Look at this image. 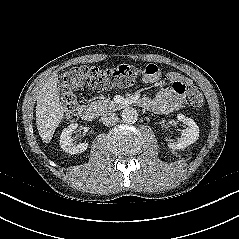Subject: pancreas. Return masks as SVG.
Returning <instances> with one entry per match:
<instances>
[{
  "mask_svg": "<svg viewBox=\"0 0 239 239\" xmlns=\"http://www.w3.org/2000/svg\"><path fill=\"white\" fill-rule=\"evenodd\" d=\"M91 106L94 107L99 112H106L113 110L116 107V103L108 98L105 100H98L92 102Z\"/></svg>",
  "mask_w": 239,
  "mask_h": 239,
  "instance_id": "obj_1",
  "label": "pancreas"
}]
</instances>
